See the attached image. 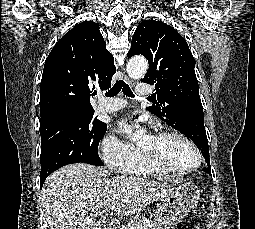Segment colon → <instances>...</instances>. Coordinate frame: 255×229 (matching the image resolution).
Here are the masks:
<instances>
[{
	"label": "colon",
	"instance_id": "obj_1",
	"mask_svg": "<svg viewBox=\"0 0 255 229\" xmlns=\"http://www.w3.org/2000/svg\"><path fill=\"white\" fill-rule=\"evenodd\" d=\"M174 229H193L187 221H180Z\"/></svg>",
	"mask_w": 255,
	"mask_h": 229
}]
</instances>
